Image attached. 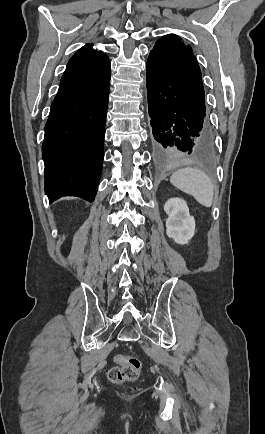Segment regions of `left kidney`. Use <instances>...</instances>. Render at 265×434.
<instances>
[{"instance_id":"obj_1","label":"left kidney","mask_w":265,"mask_h":434,"mask_svg":"<svg viewBox=\"0 0 265 434\" xmlns=\"http://www.w3.org/2000/svg\"><path fill=\"white\" fill-rule=\"evenodd\" d=\"M168 216L166 220V234L173 238L176 244H188L194 236L195 220L189 214V208L185 200L171 198L164 206Z\"/></svg>"}]
</instances>
